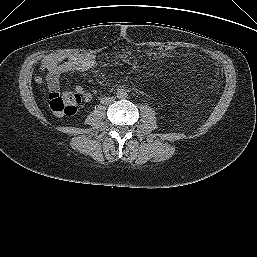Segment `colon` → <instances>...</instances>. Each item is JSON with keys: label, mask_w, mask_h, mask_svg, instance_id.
<instances>
[{"label": "colon", "mask_w": 257, "mask_h": 257, "mask_svg": "<svg viewBox=\"0 0 257 257\" xmlns=\"http://www.w3.org/2000/svg\"><path fill=\"white\" fill-rule=\"evenodd\" d=\"M159 52L162 55H168L172 52V47L162 45L159 47ZM47 99L50 109L57 115L75 114L78 106L84 100L81 94L69 91H51Z\"/></svg>", "instance_id": "1"}]
</instances>
